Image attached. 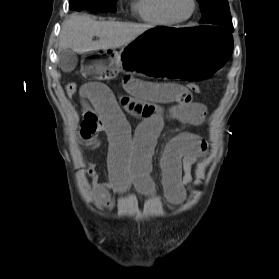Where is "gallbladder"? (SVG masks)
Masks as SVG:
<instances>
[{
  "instance_id": "bac80fb5",
  "label": "gallbladder",
  "mask_w": 279,
  "mask_h": 279,
  "mask_svg": "<svg viewBox=\"0 0 279 279\" xmlns=\"http://www.w3.org/2000/svg\"><path fill=\"white\" fill-rule=\"evenodd\" d=\"M59 61L63 72L69 73L76 68L78 63V58L74 51L63 50L59 54Z\"/></svg>"
}]
</instances>
